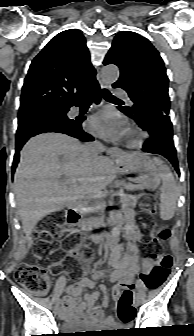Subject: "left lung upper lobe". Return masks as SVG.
I'll list each match as a JSON object with an SVG mask.
<instances>
[{
    "mask_svg": "<svg viewBox=\"0 0 194 336\" xmlns=\"http://www.w3.org/2000/svg\"><path fill=\"white\" fill-rule=\"evenodd\" d=\"M103 63L119 67L120 78L113 87L124 89L133 102L131 106H119L121 112L139 126L169 115L166 69L159 52L146 38L130 31L118 33Z\"/></svg>",
    "mask_w": 194,
    "mask_h": 336,
    "instance_id": "1",
    "label": "left lung upper lobe"
}]
</instances>
